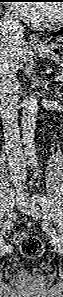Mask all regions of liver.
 Instances as JSON below:
<instances>
[{"mask_svg":"<svg viewBox=\"0 0 63 297\" xmlns=\"http://www.w3.org/2000/svg\"><path fill=\"white\" fill-rule=\"evenodd\" d=\"M30 53L31 51L24 40L16 44L0 34V71L3 67L16 72L22 68Z\"/></svg>","mask_w":63,"mask_h":297,"instance_id":"liver-1","label":"liver"}]
</instances>
